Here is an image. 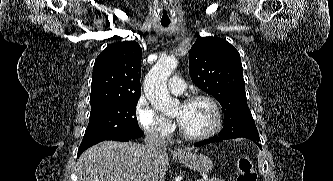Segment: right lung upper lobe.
Masks as SVG:
<instances>
[{"label":"right lung upper lobe","mask_w":333,"mask_h":181,"mask_svg":"<svg viewBox=\"0 0 333 181\" xmlns=\"http://www.w3.org/2000/svg\"><path fill=\"white\" fill-rule=\"evenodd\" d=\"M142 50L136 41L114 43L94 63L91 108L121 100L139 99Z\"/></svg>","instance_id":"obj_1"}]
</instances>
